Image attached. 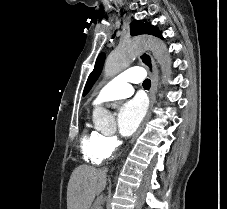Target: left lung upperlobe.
Returning a JSON list of instances; mask_svg holds the SVG:
<instances>
[{
	"mask_svg": "<svg viewBox=\"0 0 227 209\" xmlns=\"http://www.w3.org/2000/svg\"><path fill=\"white\" fill-rule=\"evenodd\" d=\"M130 33L131 35L152 34L163 39L161 32L157 29L156 26H152V25L150 26L138 20H134L130 24ZM104 60H105V54L100 53L99 56L97 57L94 70L91 72V74L88 77L86 86L84 88L83 96H85L88 93V91L91 89L92 85L100 75L104 64Z\"/></svg>",
	"mask_w": 227,
	"mask_h": 209,
	"instance_id": "obj_1",
	"label": "left lung upper lobe"
}]
</instances>
